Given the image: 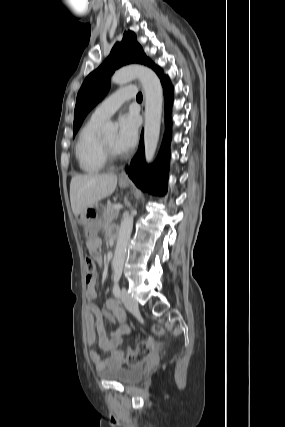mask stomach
<instances>
[{
	"mask_svg": "<svg viewBox=\"0 0 285 427\" xmlns=\"http://www.w3.org/2000/svg\"><path fill=\"white\" fill-rule=\"evenodd\" d=\"M122 188H125L128 183L119 182ZM104 221V209L101 205L96 204L88 208L80 218V223L83 226L84 233L87 239L91 240L96 237L98 229Z\"/></svg>",
	"mask_w": 285,
	"mask_h": 427,
	"instance_id": "obj_1",
	"label": "stomach"
}]
</instances>
